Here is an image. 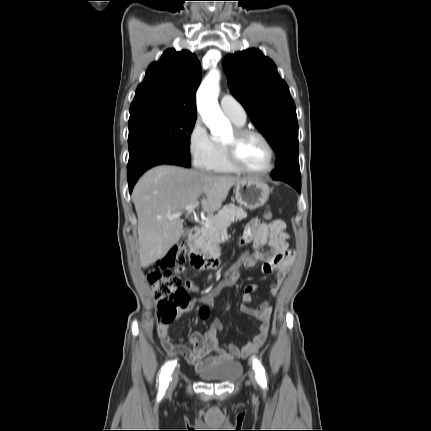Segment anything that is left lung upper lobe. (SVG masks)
I'll use <instances>...</instances> for the list:
<instances>
[{
  "label": "left lung upper lobe",
  "mask_w": 431,
  "mask_h": 431,
  "mask_svg": "<svg viewBox=\"0 0 431 431\" xmlns=\"http://www.w3.org/2000/svg\"><path fill=\"white\" fill-rule=\"evenodd\" d=\"M229 89L276 153L273 179H300L298 122L294 101L274 62L259 49L227 55Z\"/></svg>",
  "instance_id": "5c2ea615"
}]
</instances>
